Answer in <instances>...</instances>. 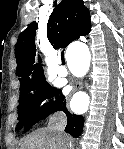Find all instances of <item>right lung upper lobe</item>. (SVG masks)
Here are the masks:
<instances>
[{"instance_id":"obj_1","label":"right lung upper lobe","mask_w":124,"mask_h":149,"mask_svg":"<svg viewBox=\"0 0 124 149\" xmlns=\"http://www.w3.org/2000/svg\"><path fill=\"white\" fill-rule=\"evenodd\" d=\"M47 25V37L54 49L65 48L72 41L90 32L89 10L82 0H62L56 5ZM37 23L32 22L20 33L15 46L17 59L16 74L20 87H33L45 82L43 69L35 64L36 47L34 42ZM39 62H41L39 58Z\"/></svg>"}]
</instances>
